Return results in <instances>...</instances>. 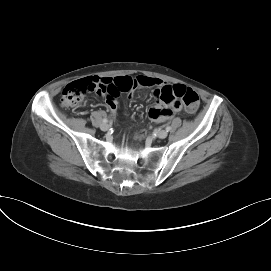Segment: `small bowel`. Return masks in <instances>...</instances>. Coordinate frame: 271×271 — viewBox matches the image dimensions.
<instances>
[{
    "label": "small bowel",
    "mask_w": 271,
    "mask_h": 271,
    "mask_svg": "<svg viewBox=\"0 0 271 271\" xmlns=\"http://www.w3.org/2000/svg\"><path fill=\"white\" fill-rule=\"evenodd\" d=\"M98 81L96 89L102 95L112 114H115L117 106L122 104L125 97L129 96L133 88L145 89L147 87H155L154 94L159 99L148 109V116L152 121L162 122L173 117V115L181 110V103L174 100L170 103L164 101L161 97L162 89L172 86L164 83L158 78L147 76H135L132 79L122 76L118 79L110 77H94L89 78Z\"/></svg>",
    "instance_id": "obj_1"
}]
</instances>
